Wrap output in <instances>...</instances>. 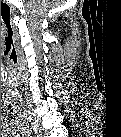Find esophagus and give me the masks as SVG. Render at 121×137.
Here are the masks:
<instances>
[{"instance_id":"34e87169","label":"esophagus","mask_w":121,"mask_h":137,"mask_svg":"<svg viewBox=\"0 0 121 137\" xmlns=\"http://www.w3.org/2000/svg\"><path fill=\"white\" fill-rule=\"evenodd\" d=\"M32 127H33L34 131L37 132V125H35V123H32Z\"/></svg>"}]
</instances>
